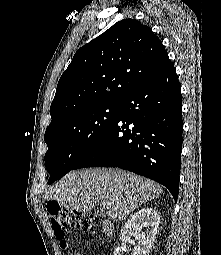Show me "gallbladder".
I'll use <instances>...</instances> for the list:
<instances>
[{
  "instance_id": "gallbladder-1",
  "label": "gallbladder",
  "mask_w": 221,
  "mask_h": 255,
  "mask_svg": "<svg viewBox=\"0 0 221 255\" xmlns=\"http://www.w3.org/2000/svg\"><path fill=\"white\" fill-rule=\"evenodd\" d=\"M96 213H97V214H99V215H101V214H102V212H101V211H96Z\"/></svg>"
}]
</instances>
